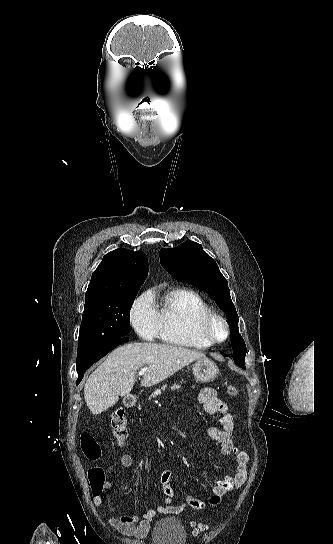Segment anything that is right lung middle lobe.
I'll return each mask as SVG.
<instances>
[{
  "label": "right lung middle lobe",
  "instance_id": "1",
  "mask_svg": "<svg viewBox=\"0 0 333 544\" xmlns=\"http://www.w3.org/2000/svg\"><path fill=\"white\" fill-rule=\"evenodd\" d=\"M137 292L85 302L76 367L130 333V309Z\"/></svg>",
  "mask_w": 333,
  "mask_h": 544
}]
</instances>
